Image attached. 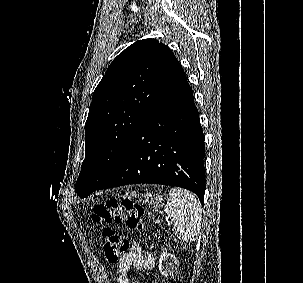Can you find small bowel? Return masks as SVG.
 Returning a JSON list of instances; mask_svg holds the SVG:
<instances>
[{
	"label": "small bowel",
	"instance_id": "small-bowel-1",
	"mask_svg": "<svg viewBox=\"0 0 303 283\" xmlns=\"http://www.w3.org/2000/svg\"><path fill=\"white\" fill-rule=\"evenodd\" d=\"M151 264L152 255L149 252L143 255L141 247L137 243H133L130 251L123 255L119 260L116 283H130L128 271L132 266H135L138 269H146L149 268Z\"/></svg>",
	"mask_w": 303,
	"mask_h": 283
}]
</instances>
